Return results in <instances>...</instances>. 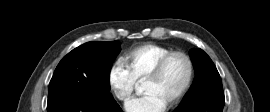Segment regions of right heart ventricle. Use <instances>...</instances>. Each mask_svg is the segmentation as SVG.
Segmentation results:
<instances>
[{
	"label": "right heart ventricle",
	"instance_id": "obj_1",
	"mask_svg": "<svg viewBox=\"0 0 270 112\" xmlns=\"http://www.w3.org/2000/svg\"><path fill=\"white\" fill-rule=\"evenodd\" d=\"M172 50L158 44H144L129 51L124 58L125 65L137 82H142L157 62Z\"/></svg>",
	"mask_w": 270,
	"mask_h": 112
}]
</instances>
